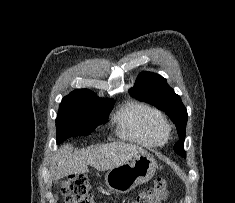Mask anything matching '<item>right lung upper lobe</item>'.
<instances>
[{
    "instance_id": "obj_1",
    "label": "right lung upper lobe",
    "mask_w": 235,
    "mask_h": 203,
    "mask_svg": "<svg viewBox=\"0 0 235 203\" xmlns=\"http://www.w3.org/2000/svg\"><path fill=\"white\" fill-rule=\"evenodd\" d=\"M71 93H92V94H94L92 91H90L88 89H78V90H75Z\"/></svg>"
}]
</instances>
